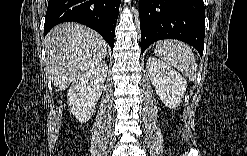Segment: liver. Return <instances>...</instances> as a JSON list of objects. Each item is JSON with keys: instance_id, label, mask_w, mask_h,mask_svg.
I'll return each instance as SVG.
<instances>
[{"instance_id": "1", "label": "liver", "mask_w": 247, "mask_h": 156, "mask_svg": "<svg viewBox=\"0 0 247 156\" xmlns=\"http://www.w3.org/2000/svg\"><path fill=\"white\" fill-rule=\"evenodd\" d=\"M48 74L65 90L81 73L100 63L107 43L92 29L77 23L55 26L44 40Z\"/></svg>"}]
</instances>
